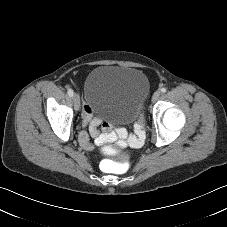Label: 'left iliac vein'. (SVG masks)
<instances>
[{
    "label": "left iliac vein",
    "instance_id": "obj_1",
    "mask_svg": "<svg viewBox=\"0 0 227 227\" xmlns=\"http://www.w3.org/2000/svg\"><path fill=\"white\" fill-rule=\"evenodd\" d=\"M161 92L158 90L153 94L152 101L155 102L159 99Z\"/></svg>",
    "mask_w": 227,
    "mask_h": 227
}]
</instances>
